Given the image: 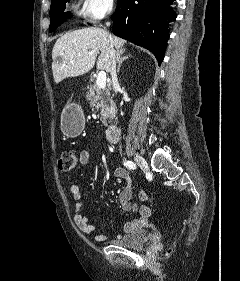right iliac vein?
I'll use <instances>...</instances> for the list:
<instances>
[{
  "label": "right iliac vein",
  "instance_id": "right-iliac-vein-1",
  "mask_svg": "<svg viewBox=\"0 0 240 281\" xmlns=\"http://www.w3.org/2000/svg\"><path fill=\"white\" fill-rule=\"evenodd\" d=\"M134 159L142 169L146 170L148 168L147 162L141 156L135 155Z\"/></svg>",
  "mask_w": 240,
  "mask_h": 281
}]
</instances>
